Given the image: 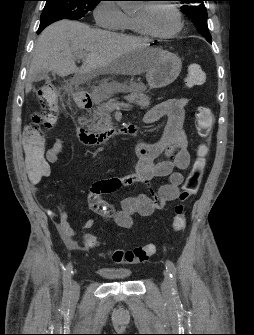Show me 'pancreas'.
<instances>
[{"label": "pancreas", "instance_id": "cf45deb5", "mask_svg": "<svg viewBox=\"0 0 254 335\" xmlns=\"http://www.w3.org/2000/svg\"><path fill=\"white\" fill-rule=\"evenodd\" d=\"M115 86L105 88L100 92V95L104 99H109L116 91L113 90ZM130 94L124 98L128 103H134L140 107V109H146L150 106V97L143 93L140 85H132L129 89ZM114 100H109L106 103H99L96 109L93 110L90 119V130L95 132L104 131L112 125L110 112L114 108H109V103H113Z\"/></svg>", "mask_w": 254, "mask_h": 335}]
</instances>
